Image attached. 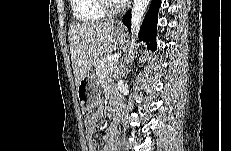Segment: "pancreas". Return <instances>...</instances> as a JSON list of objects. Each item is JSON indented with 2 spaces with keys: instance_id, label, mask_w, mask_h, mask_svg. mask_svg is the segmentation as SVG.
Masks as SVG:
<instances>
[{
  "instance_id": "cf45deb5",
  "label": "pancreas",
  "mask_w": 231,
  "mask_h": 151,
  "mask_svg": "<svg viewBox=\"0 0 231 151\" xmlns=\"http://www.w3.org/2000/svg\"><path fill=\"white\" fill-rule=\"evenodd\" d=\"M118 70L117 61L109 62L107 58H103L96 65V74L98 80H102L108 75L116 72Z\"/></svg>"
}]
</instances>
